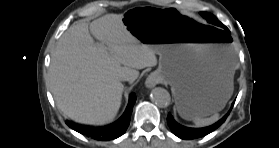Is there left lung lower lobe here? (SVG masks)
<instances>
[{
  "mask_svg": "<svg viewBox=\"0 0 279 148\" xmlns=\"http://www.w3.org/2000/svg\"><path fill=\"white\" fill-rule=\"evenodd\" d=\"M213 28V27H212ZM234 105V102L231 106V109L228 111V113L218 122H216L215 124L209 126V127H205V128H188V127H184L181 126L180 124H178L172 117V115L169 113L168 117H167V123L171 129V131L178 136L181 139H186V140H190V139H195V138H199V137H203L209 133H211L212 131H214L215 129H217L227 118V116L229 115V113L232 110V107Z\"/></svg>",
  "mask_w": 279,
  "mask_h": 148,
  "instance_id": "0a47b994",
  "label": "left lung lower lobe"
}]
</instances>
